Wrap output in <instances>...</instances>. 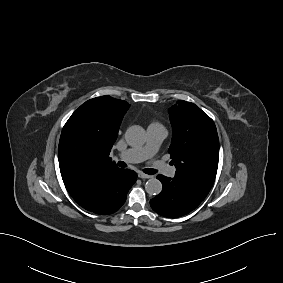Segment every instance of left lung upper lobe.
I'll use <instances>...</instances> for the list:
<instances>
[{"mask_svg":"<svg viewBox=\"0 0 283 283\" xmlns=\"http://www.w3.org/2000/svg\"><path fill=\"white\" fill-rule=\"evenodd\" d=\"M173 127L168 152L175 164V179L205 198L216 177L219 138L213 120L193 103L181 100L169 110Z\"/></svg>","mask_w":283,"mask_h":283,"instance_id":"1","label":"left lung upper lobe"}]
</instances>
